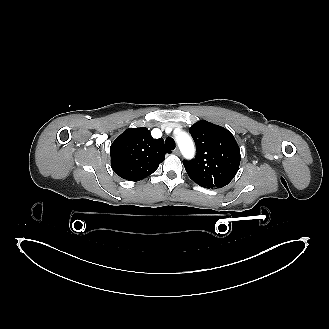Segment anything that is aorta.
Returning a JSON list of instances; mask_svg holds the SVG:
<instances>
[{"mask_svg":"<svg viewBox=\"0 0 329 329\" xmlns=\"http://www.w3.org/2000/svg\"><path fill=\"white\" fill-rule=\"evenodd\" d=\"M175 141L177 142L182 154L186 158H192L195 154V146L192 138L188 133L179 131L176 134Z\"/></svg>","mask_w":329,"mask_h":329,"instance_id":"aorta-1","label":"aorta"}]
</instances>
